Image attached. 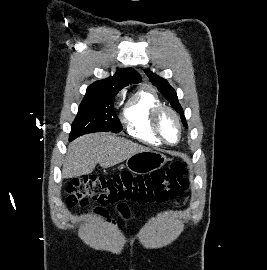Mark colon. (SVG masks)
Instances as JSON below:
<instances>
[{
    "mask_svg": "<svg viewBox=\"0 0 267 270\" xmlns=\"http://www.w3.org/2000/svg\"><path fill=\"white\" fill-rule=\"evenodd\" d=\"M189 186L185 164L174 162L168 169L135 175L123 172L112 177L83 176L67 186L65 204L84 207L90 200L111 204L130 200L140 204L162 203L181 196Z\"/></svg>",
    "mask_w": 267,
    "mask_h": 270,
    "instance_id": "obj_1",
    "label": "colon"
}]
</instances>
